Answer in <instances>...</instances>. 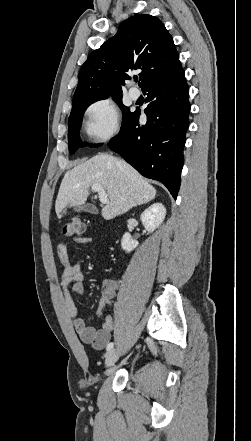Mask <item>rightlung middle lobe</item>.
I'll return each mask as SVG.
<instances>
[{
    "instance_id": "1",
    "label": "right lung middle lobe",
    "mask_w": 251,
    "mask_h": 441,
    "mask_svg": "<svg viewBox=\"0 0 251 441\" xmlns=\"http://www.w3.org/2000/svg\"><path fill=\"white\" fill-rule=\"evenodd\" d=\"M105 98H92V97H86L78 100L73 101L71 114L69 116L68 120V145H69V152L73 154L77 150V146L84 147L86 146L85 143H82L79 137V131L82 125V117L85 112V110L94 102ZM122 96H114L113 100L120 106L122 112H123V122L122 125L128 120V118L131 115V112L129 111V108L124 106L122 104L121 100ZM93 146V145H91ZM98 146V145H94Z\"/></svg>"
}]
</instances>
